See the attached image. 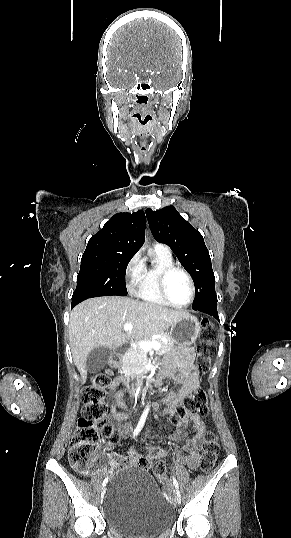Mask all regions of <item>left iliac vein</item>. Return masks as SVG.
<instances>
[{
    "mask_svg": "<svg viewBox=\"0 0 291 538\" xmlns=\"http://www.w3.org/2000/svg\"><path fill=\"white\" fill-rule=\"evenodd\" d=\"M176 501H177V503L181 502V494H180L179 491L176 492Z\"/></svg>",
    "mask_w": 291,
    "mask_h": 538,
    "instance_id": "4c4485c4",
    "label": "left iliac vein"
}]
</instances>
